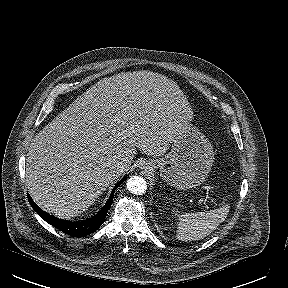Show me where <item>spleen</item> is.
Returning a JSON list of instances; mask_svg holds the SVG:
<instances>
[{"label":"spleen","mask_w":288,"mask_h":288,"mask_svg":"<svg viewBox=\"0 0 288 288\" xmlns=\"http://www.w3.org/2000/svg\"><path fill=\"white\" fill-rule=\"evenodd\" d=\"M229 212V206L223 205L215 210L177 215L176 237L181 241H196L211 234L222 223ZM177 214V212H175Z\"/></svg>","instance_id":"spleen-1"}]
</instances>
